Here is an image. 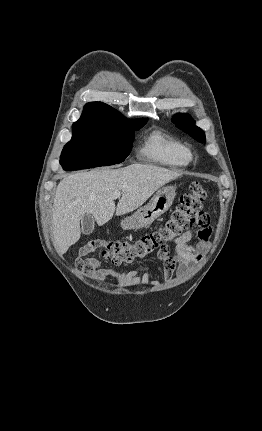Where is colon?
Wrapping results in <instances>:
<instances>
[{"instance_id": "1", "label": "colon", "mask_w": 262, "mask_h": 431, "mask_svg": "<svg viewBox=\"0 0 262 431\" xmlns=\"http://www.w3.org/2000/svg\"><path fill=\"white\" fill-rule=\"evenodd\" d=\"M206 196L204 187L200 183H193L189 192L180 197L169 219L157 230L131 241L96 239L84 244L76 257L79 271L88 273L92 270L89 261L84 260V257L94 253H99L103 258L117 264L133 263L152 254L167 255L169 244L184 230L193 224H204L208 220L207 215L201 212Z\"/></svg>"}]
</instances>
